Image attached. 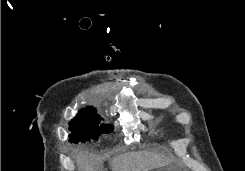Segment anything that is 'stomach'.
I'll list each match as a JSON object with an SVG mask.
<instances>
[{
  "label": "stomach",
  "mask_w": 245,
  "mask_h": 171,
  "mask_svg": "<svg viewBox=\"0 0 245 171\" xmlns=\"http://www.w3.org/2000/svg\"><path fill=\"white\" fill-rule=\"evenodd\" d=\"M155 171H169L168 169L164 168V169H157Z\"/></svg>",
  "instance_id": "stomach-1"
}]
</instances>
